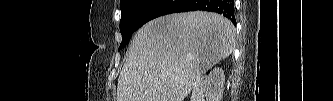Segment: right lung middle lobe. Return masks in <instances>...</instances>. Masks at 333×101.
I'll return each instance as SVG.
<instances>
[{
  "label": "right lung middle lobe",
  "instance_id": "obj_1",
  "mask_svg": "<svg viewBox=\"0 0 333 101\" xmlns=\"http://www.w3.org/2000/svg\"><path fill=\"white\" fill-rule=\"evenodd\" d=\"M152 0H121V20L120 32L122 34V42L119 50L126 46L134 31L138 29L137 22L142 12L150 4Z\"/></svg>",
  "mask_w": 333,
  "mask_h": 101
}]
</instances>
